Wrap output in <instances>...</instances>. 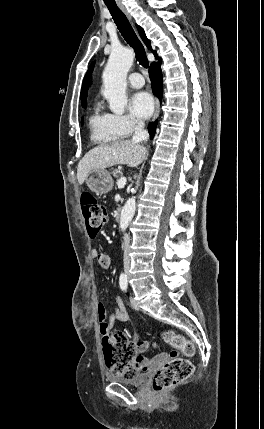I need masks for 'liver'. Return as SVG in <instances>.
I'll list each match as a JSON object with an SVG mask.
<instances>
[{
  "instance_id": "1",
  "label": "liver",
  "mask_w": 264,
  "mask_h": 429,
  "mask_svg": "<svg viewBox=\"0 0 264 429\" xmlns=\"http://www.w3.org/2000/svg\"><path fill=\"white\" fill-rule=\"evenodd\" d=\"M146 157V148L130 140L97 146L87 152L77 168V179L81 185L92 170L105 169L116 164L137 167Z\"/></svg>"
}]
</instances>
